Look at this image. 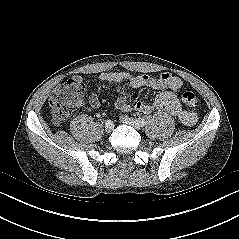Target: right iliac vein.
<instances>
[{"label": "right iliac vein", "mask_w": 239, "mask_h": 239, "mask_svg": "<svg viewBox=\"0 0 239 239\" xmlns=\"http://www.w3.org/2000/svg\"><path fill=\"white\" fill-rule=\"evenodd\" d=\"M114 128V124L112 123L111 125H108L105 123V131L106 132H111Z\"/></svg>", "instance_id": "1"}]
</instances>
